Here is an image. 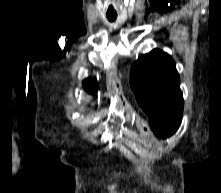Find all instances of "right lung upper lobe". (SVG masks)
<instances>
[{"label":"right lung upper lobe","mask_w":221,"mask_h":193,"mask_svg":"<svg viewBox=\"0 0 221 193\" xmlns=\"http://www.w3.org/2000/svg\"><path fill=\"white\" fill-rule=\"evenodd\" d=\"M83 86L85 90L88 91L89 93H95L98 89V83L95 78H88L84 80Z\"/></svg>","instance_id":"1"}]
</instances>
